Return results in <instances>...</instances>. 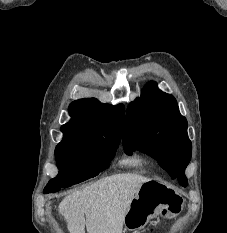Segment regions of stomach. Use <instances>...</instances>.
<instances>
[{"label": "stomach", "mask_w": 227, "mask_h": 233, "mask_svg": "<svg viewBox=\"0 0 227 233\" xmlns=\"http://www.w3.org/2000/svg\"><path fill=\"white\" fill-rule=\"evenodd\" d=\"M182 196L170 185L150 180L142 184L133 198L124 218L129 230H140L148 222L160 215L175 217L183 208Z\"/></svg>", "instance_id": "1"}]
</instances>
